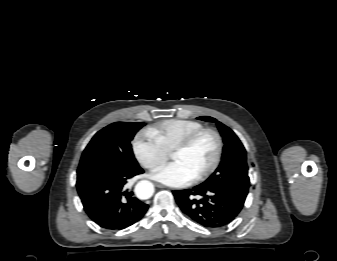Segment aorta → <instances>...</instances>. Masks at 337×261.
I'll return each instance as SVG.
<instances>
[{
    "label": "aorta",
    "mask_w": 337,
    "mask_h": 261,
    "mask_svg": "<svg viewBox=\"0 0 337 261\" xmlns=\"http://www.w3.org/2000/svg\"><path fill=\"white\" fill-rule=\"evenodd\" d=\"M135 193L140 199H149L154 193V186L150 181H139L135 187Z\"/></svg>",
    "instance_id": "762f6f07"
}]
</instances>
